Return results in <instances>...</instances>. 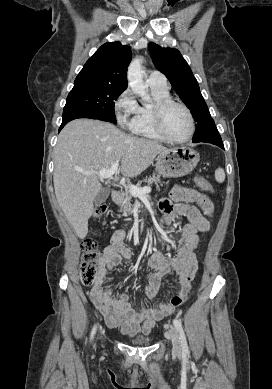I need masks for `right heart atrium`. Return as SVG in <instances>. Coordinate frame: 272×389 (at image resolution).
<instances>
[{"mask_svg": "<svg viewBox=\"0 0 272 389\" xmlns=\"http://www.w3.org/2000/svg\"><path fill=\"white\" fill-rule=\"evenodd\" d=\"M137 102L130 89H125L115 100L114 111L118 123L123 126H129L137 112Z\"/></svg>", "mask_w": 272, "mask_h": 389, "instance_id": "d8ad5b80", "label": "right heart atrium"}]
</instances>
